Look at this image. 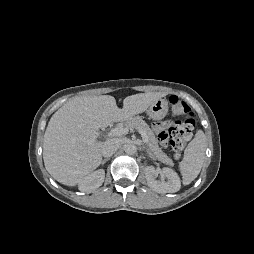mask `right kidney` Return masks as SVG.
I'll use <instances>...</instances> for the list:
<instances>
[{
    "label": "right kidney",
    "instance_id": "ca27d5eb",
    "mask_svg": "<svg viewBox=\"0 0 254 254\" xmlns=\"http://www.w3.org/2000/svg\"><path fill=\"white\" fill-rule=\"evenodd\" d=\"M104 178L105 171L103 169L94 171L79 184V189L83 192H91L102 185Z\"/></svg>",
    "mask_w": 254,
    "mask_h": 254
}]
</instances>
